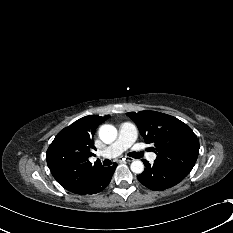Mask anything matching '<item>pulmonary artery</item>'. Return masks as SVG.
Segmentation results:
<instances>
[{
  "label": "pulmonary artery",
  "instance_id": "e3ab8cb5",
  "mask_svg": "<svg viewBox=\"0 0 233 233\" xmlns=\"http://www.w3.org/2000/svg\"><path fill=\"white\" fill-rule=\"evenodd\" d=\"M137 138V128L131 122H124L120 125L119 135L117 140L111 144L102 154V157L114 158L122 154L130 148ZM155 154H149L148 159L155 160Z\"/></svg>",
  "mask_w": 233,
  "mask_h": 233
}]
</instances>
